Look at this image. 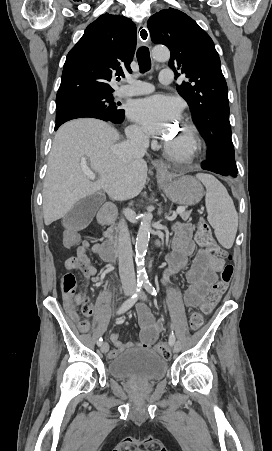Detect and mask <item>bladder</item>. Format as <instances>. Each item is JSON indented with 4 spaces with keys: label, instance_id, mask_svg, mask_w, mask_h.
Instances as JSON below:
<instances>
[{
    "label": "bladder",
    "instance_id": "1",
    "mask_svg": "<svg viewBox=\"0 0 272 451\" xmlns=\"http://www.w3.org/2000/svg\"><path fill=\"white\" fill-rule=\"evenodd\" d=\"M109 376L119 381L152 382L162 380L167 371L163 355L149 349L126 351L107 363Z\"/></svg>",
    "mask_w": 272,
    "mask_h": 451
}]
</instances>
